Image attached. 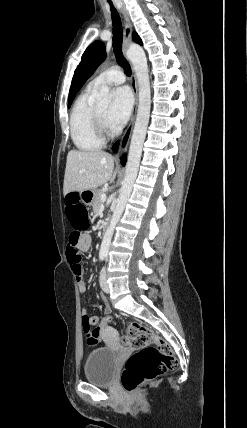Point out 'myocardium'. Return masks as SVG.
Here are the masks:
<instances>
[{"label":"myocardium","instance_id":"1","mask_svg":"<svg viewBox=\"0 0 247 428\" xmlns=\"http://www.w3.org/2000/svg\"><path fill=\"white\" fill-rule=\"evenodd\" d=\"M93 123L97 133L101 138L105 139L110 134V129L107 123H105L104 120L101 118L97 109H94L93 111Z\"/></svg>","mask_w":247,"mask_h":428}]
</instances>
